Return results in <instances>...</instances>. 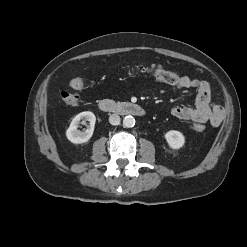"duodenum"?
Returning a JSON list of instances; mask_svg holds the SVG:
<instances>
[{
  "mask_svg": "<svg viewBox=\"0 0 247 247\" xmlns=\"http://www.w3.org/2000/svg\"><path fill=\"white\" fill-rule=\"evenodd\" d=\"M99 108L106 113H115L120 115L144 116V109L138 104L131 102H116L111 99H102L99 101Z\"/></svg>",
  "mask_w": 247,
  "mask_h": 247,
  "instance_id": "1",
  "label": "duodenum"
}]
</instances>
